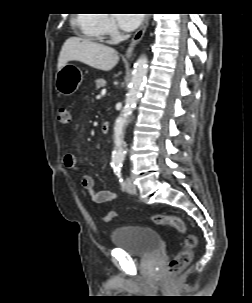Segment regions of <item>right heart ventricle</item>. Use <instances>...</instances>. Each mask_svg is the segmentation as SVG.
Returning a JSON list of instances; mask_svg holds the SVG:
<instances>
[{"label":"right heart ventricle","mask_w":252,"mask_h":303,"mask_svg":"<svg viewBox=\"0 0 252 303\" xmlns=\"http://www.w3.org/2000/svg\"><path fill=\"white\" fill-rule=\"evenodd\" d=\"M101 16L98 14H79L74 21L86 35L102 39L105 34L99 27Z\"/></svg>","instance_id":"obj_1"}]
</instances>
